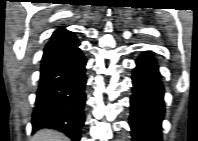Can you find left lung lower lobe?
Wrapping results in <instances>:
<instances>
[{"instance_id":"left-lung-lower-lobe-1","label":"left lung lower lobe","mask_w":198,"mask_h":141,"mask_svg":"<svg viewBox=\"0 0 198 141\" xmlns=\"http://www.w3.org/2000/svg\"><path fill=\"white\" fill-rule=\"evenodd\" d=\"M129 124L133 141H162L164 86L154 54L140 55L132 73Z\"/></svg>"}]
</instances>
